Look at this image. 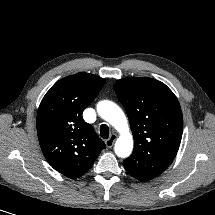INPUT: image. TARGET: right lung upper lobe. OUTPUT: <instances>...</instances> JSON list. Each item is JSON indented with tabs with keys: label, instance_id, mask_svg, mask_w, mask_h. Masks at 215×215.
<instances>
[{
	"label": "right lung upper lobe",
	"instance_id": "obj_1",
	"mask_svg": "<svg viewBox=\"0 0 215 215\" xmlns=\"http://www.w3.org/2000/svg\"><path fill=\"white\" fill-rule=\"evenodd\" d=\"M105 79L77 73L56 82L41 101L37 133L49 164L64 176L85 174L106 146L83 120V110L93 101Z\"/></svg>",
	"mask_w": 215,
	"mask_h": 215
}]
</instances>
